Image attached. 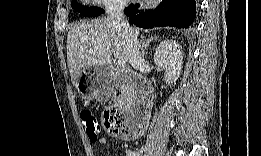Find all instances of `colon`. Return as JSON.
I'll return each mask as SVG.
<instances>
[{
  "label": "colon",
  "instance_id": "1",
  "mask_svg": "<svg viewBox=\"0 0 261 156\" xmlns=\"http://www.w3.org/2000/svg\"><path fill=\"white\" fill-rule=\"evenodd\" d=\"M80 119L89 140L93 143L96 142L101 131V125L96 117L90 111L85 110L81 113ZM102 126L109 135L118 138H135L144 133L141 125L128 124L123 112L116 107L105 109Z\"/></svg>",
  "mask_w": 261,
  "mask_h": 156
}]
</instances>
